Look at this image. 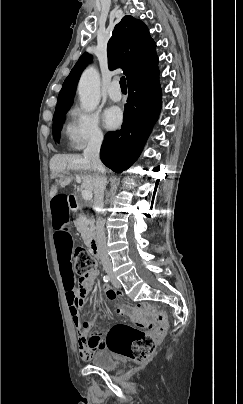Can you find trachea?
I'll list each match as a JSON object with an SVG mask.
<instances>
[{
    "instance_id": "trachea-1",
    "label": "trachea",
    "mask_w": 243,
    "mask_h": 404,
    "mask_svg": "<svg viewBox=\"0 0 243 404\" xmlns=\"http://www.w3.org/2000/svg\"><path fill=\"white\" fill-rule=\"evenodd\" d=\"M119 83H120L121 90H122V91H126V90H127L126 78H125V77H121Z\"/></svg>"
}]
</instances>
